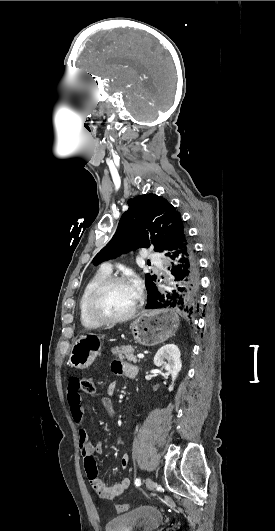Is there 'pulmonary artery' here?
<instances>
[{"instance_id": "pulmonary-artery-1", "label": "pulmonary artery", "mask_w": 275, "mask_h": 531, "mask_svg": "<svg viewBox=\"0 0 275 531\" xmlns=\"http://www.w3.org/2000/svg\"><path fill=\"white\" fill-rule=\"evenodd\" d=\"M149 262L153 264V267L155 269H158V272L160 274H165L167 272V267L164 265L163 261H161L160 256L158 255L157 251L152 250L149 253ZM107 272H110L111 269H107Z\"/></svg>"}]
</instances>
